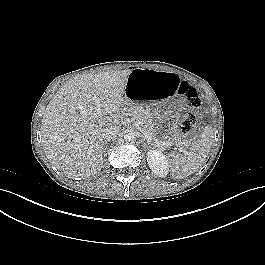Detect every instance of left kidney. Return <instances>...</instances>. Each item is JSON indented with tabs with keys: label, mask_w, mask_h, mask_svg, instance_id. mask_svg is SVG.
<instances>
[{
	"label": "left kidney",
	"mask_w": 265,
	"mask_h": 265,
	"mask_svg": "<svg viewBox=\"0 0 265 265\" xmlns=\"http://www.w3.org/2000/svg\"><path fill=\"white\" fill-rule=\"evenodd\" d=\"M147 162L151 171L159 177H165L168 173V160L157 150L147 152Z\"/></svg>",
	"instance_id": "5707ae66"
}]
</instances>
